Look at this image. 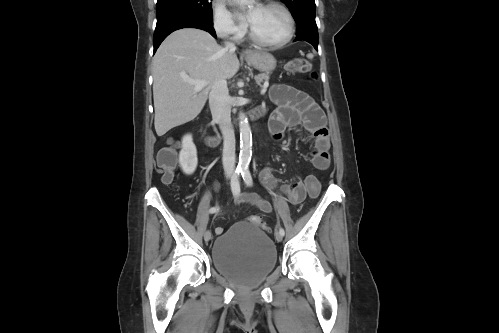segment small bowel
<instances>
[{"instance_id":"obj_1","label":"small bowel","mask_w":499,"mask_h":333,"mask_svg":"<svg viewBox=\"0 0 499 333\" xmlns=\"http://www.w3.org/2000/svg\"><path fill=\"white\" fill-rule=\"evenodd\" d=\"M270 97L277 105L269 118V131L274 140H281L288 128L302 125L306 132L314 140L311 162L318 170H325L330 165V138L325 122L323 110L304 91L285 84H275L271 87ZM217 143L215 138H208L207 144L213 146ZM263 184L274 189L278 182L272 177L269 170H264L261 176ZM215 190L219 189L218 182H213ZM282 193L291 204L301 203L306 196V190L301 181H293L280 186ZM237 203H248L264 213L272 212V204L269 200L254 193L238 195ZM224 229L218 227L216 231L221 233Z\"/></svg>"}]
</instances>
